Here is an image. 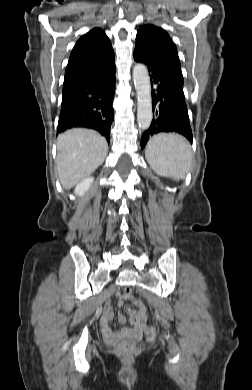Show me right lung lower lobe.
<instances>
[{
	"label": "right lung lower lobe",
	"instance_id": "right-lung-lower-lobe-1",
	"mask_svg": "<svg viewBox=\"0 0 252 390\" xmlns=\"http://www.w3.org/2000/svg\"><path fill=\"white\" fill-rule=\"evenodd\" d=\"M114 91L115 66L104 76L62 92L57 134L73 127H86L99 131L109 142V129L114 121Z\"/></svg>",
	"mask_w": 252,
	"mask_h": 390
}]
</instances>
